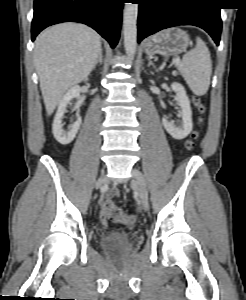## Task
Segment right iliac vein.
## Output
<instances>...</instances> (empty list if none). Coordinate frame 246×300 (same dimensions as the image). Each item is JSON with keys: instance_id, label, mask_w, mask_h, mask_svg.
Listing matches in <instances>:
<instances>
[{"instance_id": "obj_1", "label": "right iliac vein", "mask_w": 246, "mask_h": 300, "mask_svg": "<svg viewBox=\"0 0 246 300\" xmlns=\"http://www.w3.org/2000/svg\"><path fill=\"white\" fill-rule=\"evenodd\" d=\"M105 180H106L105 175H102V176L97 180L96 186H97V187H101V186L105 183Z\"/></svg>"}]
</instances>
